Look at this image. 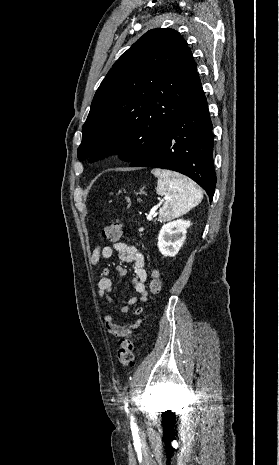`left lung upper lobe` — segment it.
I'll return each instance as SVG.
<instances>
[{
    "mask_svg": "<svg viewBox=\"0 0 279 465\" xmlns=\"http://www.w3.org/2000/svg\"><path fill=\"white\" fill-rule=\"evenodd\" d=\"M197 78L191 49L168 28L145 33L112 66L82 127L78 159L110 152L132 163L167 130Z\"/></svg>",
    "mask_w": 279,
    "mask_h": 465,
    "instance_id": "left-lung-upper-lobe-1",
    "label": "left lung upper lobe"
}]
</instances>
